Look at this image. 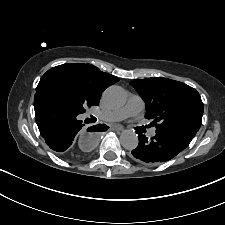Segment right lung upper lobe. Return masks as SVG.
Listing matches in <instances>:
<instances>
[{"label":"right lung upper lobe","mask_w":225,"mask_h":225,"mask_svg":"<svg viewBox=\"0 0 225 225\" xmlns=\"http://www.w3.org/2000/svg\"><path fill=\"white\" fill-rule=\"evenodd\" d=\"M62 75L82 87L91 98L94 105L99 104L101 92L113 83L119 81L116 76L100 71L91 64L69 63L48 70L43 76Z\"/></svg>","instance_id":"1"}]
</instances>
